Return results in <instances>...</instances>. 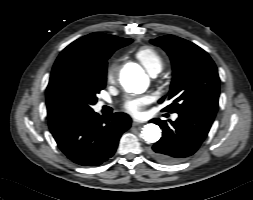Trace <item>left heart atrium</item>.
<instances>
[{
	"label": "left heart atrium",
	"instance_id": "left-heart-atrium-1",
	"mask_svg": "<svg viewBox=\"0 0 253 200\" xmlns=\"http://www.w3.org/2000/svg\"><path fill=\"white\" fill-rule=\"evenodd\" d=\"M150 98L148 96H141L127 99L124 104V110L134 117H139L142 114L143 108L148 104Z\"/></svg>",
	"mask_w": 253,
	"mask_h": 200
}]
</instances>
